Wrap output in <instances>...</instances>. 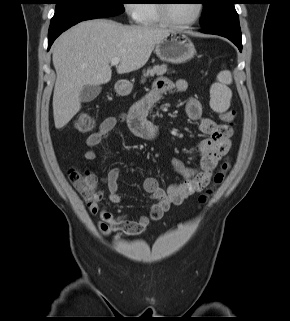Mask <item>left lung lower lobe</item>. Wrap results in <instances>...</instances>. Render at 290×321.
Masks as SVG:
<instances>
[{
	"mask_svg": "<svg viewBox=\"0 0 290 321\" xmlns=\"http://www.w3.org/2000/svg\"><path fill=\"white\" fill-rule=\"evenodd\" d=\"M202 33L215 34L228 38L242 51V37L238 14L235 13L222 21L201 30Z\"/></svg>",
	"mask_w": 290,
	"mask_h": 321,
	"instance_id": "obj_1",
	"label": "left lung lower lobe"
}]
</instances>
